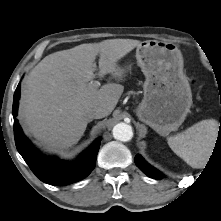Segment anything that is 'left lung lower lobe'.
Instances as JSON below:
<instances>
[{"mask_svg": "<svg viewBox=\"0 0 221 221\" xmlns=\"http://www.w3.org/2000/svg\"><path fill=\"white\" fill-rule=\"evenodd\" d=\"M218 139V138H217ZM218 144L221 145V136L219 135ZM136 165L149 177L154 179H162L164 175L157 169L150 166L139 154L135 156Z\"/></svg>", "mask_w": 221, "mask_h": 221, "instance_id": "obj_1", "label": "left lung lower lobe"}]
</instances>
